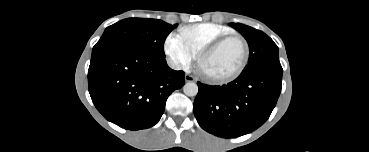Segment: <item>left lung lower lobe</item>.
I'll return each mask as SVG.
<instances>
[{
	"label": "left lung lower lobe",
	"instance_id": "0a47b994",
	"mask_svg": "<svg viewBox=\"0 0 369 152\" xmlns=\"http://www.w3.org/2000/svg\"><path fill=\"white\" fill-rule=\"evenodd\" d=\"M283 70L263 69L240 75L223 86L198 82L194 115L205 131L234 138L259 128L269 118L281 92Z\"/></svg>",
	"mask_w": 369,
	"mask_h": 152
}]
</instances>
